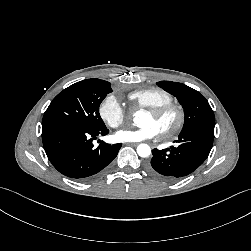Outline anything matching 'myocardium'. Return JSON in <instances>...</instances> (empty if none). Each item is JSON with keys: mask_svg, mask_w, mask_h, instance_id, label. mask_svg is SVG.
Instances as JSON below:
<instances>
[{"mask_svg": "<svg viewBox=\"0 0 251 251\" xmlns=\"http://www.w3.org/2000/svg\"><path fill=\"white\" fill-rule=\"evenodd\" d=\"M146 112L155 118H161L169 113H173L175 115L176 120L173 126L159 132L162 138H171L175 136L181 131L185 123V112L183 108L174 102H170L158 107L147 108Z\"/></svg>", "mask_w": 251, "mask_h": 251, "instance_id": "1", "label": "myocardium"}]
</instances>
